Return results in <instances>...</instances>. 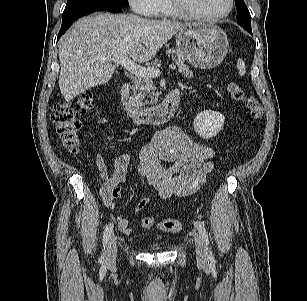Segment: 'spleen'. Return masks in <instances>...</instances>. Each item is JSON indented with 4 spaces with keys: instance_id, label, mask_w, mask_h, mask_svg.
I'll use <instances>...</instances> for the list:
<instances>
[{
    "instance_id": "1",
    "label": "spleen",
    "mask_w": 307,
    "mask_h": 301,
    "mask_svg": "<svg viewBox=\"0 0 307 301\" xmlns=\"http://www.w3.org/2000/svg\"><path fill=\"white\" fill-rule=\"evenodd\" d=\"M237 68L239 70V74L240 75H244L245 74L246 66H245V63H244V61L242 59H238Z\"/></svg>"
}]
</instances>
